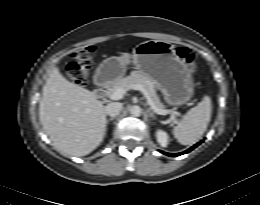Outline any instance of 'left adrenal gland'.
<instances>
[{
	"instance_id": "left-adrenal-gland-1",
	"label": "left adrenal gland",
	"mask_w": 260,
	"mask_h": 205,
	"mask_svg": "<svg viewBox=\"0 0 260 205\" xmlns=\"http://www.w3.org/2000/svg\"><path fill=\"white\" fill-rule=\"evenodd\" d=\"M147 112L149 113V117L155 119V115H154V113L152 112L151 108H148V109H147Z\"/></svg>"
}]
</instances>
